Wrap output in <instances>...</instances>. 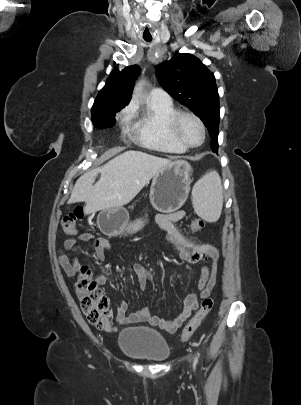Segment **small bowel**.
<instances>
[{
	"instance_id": "small-bowel-1",
	"label": "small bowel",
	"mask_w": 301,
	"mask_h": 405,
	"mask_svg": "<svg viewBox=\"0 0 301 405\" xmlns=\"http://www.w3.org/2000/svg\"><path fill=\"white\" fill-rule=\"evenodd\" d=\"M186 213L184 210H178L173 213H160L157 215L158 224L167 232L168 242L177 250L180 258L188 263L195 264L204 262L198 282L199 293H191L183 300L182 311L173 319L165 320L152 315L150 310L145 307L131 314H127L128 304L121 301L116 309V319L121 324L148 322L153 326L173 333L175 332L197 309L200 299H204L212 292L217 273V261L219 257L218 249L210 244L197 243L194 240L185 237L176 227L175 222L182 220ZM79 242H92L94 245V258L98 262L105 260V251L112 247L106 237L95 236L91 233H81L76 237L66 239L64 249L79 251L77 244ZM58 260L64 271L68 275H74L81 269V265L75 257L69 258L62 251L58 254ZM134 271L138 278L140 288L144 289L148 283L152 282L153 275L141 264L134 265ZM110 276L101 274L95 278L98 285L108 283Z\"/></svg>"
}]
</instances>
